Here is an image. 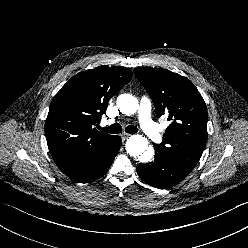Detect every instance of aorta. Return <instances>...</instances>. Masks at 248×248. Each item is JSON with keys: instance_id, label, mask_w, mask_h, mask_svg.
Returning a JSON list of instances; mask_svg holds the SVG:
<instances>
[{"instance_id": "1", "label": "aorta", "mask_w": 248, "mask_h": 248, "mask_svg": "<svg viewBox=\"0 0 248 248\" xmlns=\"http://www.w3.org/2000/svg\"><path fill=\"white\" fill-rule=\"evenodd\" d=\"M117 106L120 111L125 115H132L138 110V100L130 94H121L117 98ZM126 151L130 156L138 157L142 163L149 162L153 155L154 150L148 148V141L141 135H133L127 139Z\"/></svg>"}]
</instances>
